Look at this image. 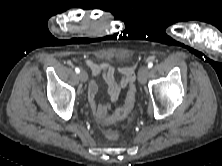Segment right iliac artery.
I'll use <instances>...</instances> for the list:
<instances>
[{
  "instance_id": "right-iliac-artery-1",
  "label": "right iliac artery",
  "mask_w": 222,
  "mask_h": 166,
  "mask_svg": "<svg viewBox=\"0 0 222 166\" xmlns=\"http://www.w3.org/2000/svg\"><path fill=\"white\" fill-rule=\"evenodd\" d=\"M76 73H80V69L78 67L75 68Z\"/></svg>"
}]
</instances>
